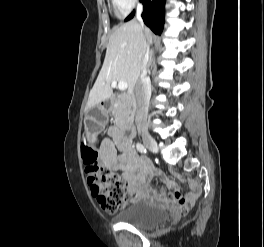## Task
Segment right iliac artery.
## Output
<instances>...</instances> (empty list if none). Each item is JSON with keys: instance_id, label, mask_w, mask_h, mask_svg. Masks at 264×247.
Instances as JSON below:
<instances>
[{"instance_id": "right-iliac-artery-1", "label": "right iliac artery", "mask_w": 264, "mask_h": 247, "mask_svg": "<svg viewBox=\"0 0 264 247\" xmlns=\"http://www.w3.org/2000/svg\"><path fill=\"white\" fill-rule=\"evenodd\" d=\"M136 148L139 152L141 153H147V150L146 148L144 147V145H142L141 143H137L136 144Z\"/></svg>"}]
</instances>
